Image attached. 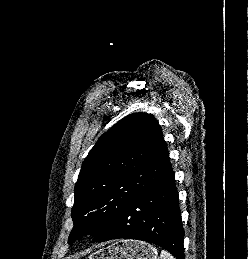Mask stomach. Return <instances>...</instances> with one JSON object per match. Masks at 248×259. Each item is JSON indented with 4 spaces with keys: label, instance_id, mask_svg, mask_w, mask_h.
<instances>
[{
    "label": "stomach",
    "instance_id": "0dacf381",
    "mask_svg": "<svg viewBox=\"0 0 248 259\" xmlns=\"http://www.w3.org/2000/svg\"><path fill=\"white\" fill-rule=\"evenodd\" d=\"M87 259H159L156 248L138 240H120L101 248Z\"/></svg>",
    "mask_w": 248,
    "mask_h": 259
}]
</instances>
